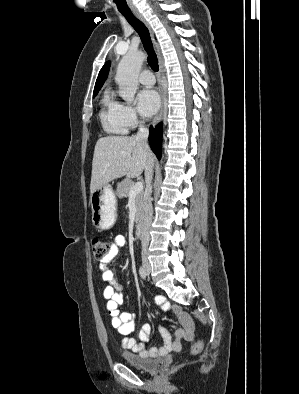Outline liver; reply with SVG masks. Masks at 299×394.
<instances>
[{
	"label": "liver",
	"mask_w": 299,
	"mask_h": 394,
	"mask_svg": "<svg viewBox=\"0 0 299 394\" xmlns=\"http://www.w3.org/2000/svg\"><path fill=\"white\" fill-rule=\"evenodd\" d=\"M149 162H153V153L135 136L101 137L94 149L90 191L123 176L139 177Z\"/></svg>",
	"instance_id": "1"
}]
</instances>
